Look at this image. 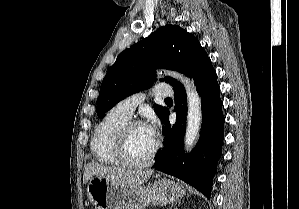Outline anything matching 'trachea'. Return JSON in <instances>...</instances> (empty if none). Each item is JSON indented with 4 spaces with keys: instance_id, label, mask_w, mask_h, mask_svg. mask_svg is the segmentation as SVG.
I'll list each match as a JSON object with an SVG mask.
<instances>
[{
    "instance_id": "1",
    "label": "trachea",
    "mask_w": 299,
    "mask_h": 209,
    "mask_svg": "<svg viewBox=\"0 0 299 209\" xmlns=\"http://www.w3.org/2000/svg\"><path fill=\"white\" fill-rule=\"evenodd\" d=\"M165 101H172V99L171 98H166Z\"/></svg>"
}]
</instances>
